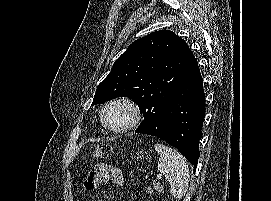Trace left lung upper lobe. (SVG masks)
Wrapping results in <instances>:
<instances>
[{
	"instance_id": "1",
	"label": "left lung upper lobe",
	"mask_w": 271,
	"mask_h": 201,
	"mask_svg": "<svg viewBox=\"0 0 271 201\" xmlns=\"http://www.w3.org/2000/svg\"><path fill=\"white\" fill-rule=\"evenodd\" d=\"M186 46L169 30L134 41L98 85L92 105L129 97L144 116L140 126L150 132L159 130L163 110L180 82Z\"/></svg>"
}]
</instances>
